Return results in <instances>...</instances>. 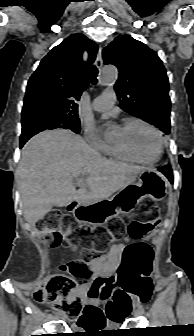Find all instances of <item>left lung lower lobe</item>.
<instances>
[{"label": "left lung lower lobe", "instance_id": "1", "mask_svg": "<svg viewBox=\"0 0 194 336\" xmlns=\"http://www.w3.org/2000/svg\"><path fill=\"white\" fill-rule=\"evenodd\" d=\"M159 170L165 174V176L169 179V181L171 183H173V174H172V170L170 168V166H164V167H161L159 168Z\"/></svg>", "mask_w": 194, "mask_h": 336}]
</instances>
